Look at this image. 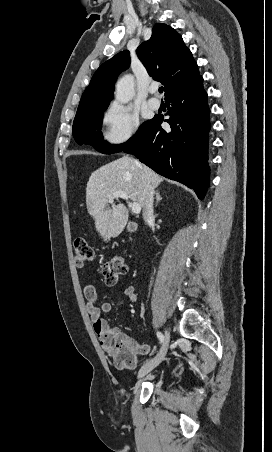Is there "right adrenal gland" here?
Returning a JSON list of instances; mask_svg holds the SVG:
<instances>
[{"mask_svg":"<svg viewBox=\"0 0 272 452\" xmlns=\"http://www.w3.org/2000/svg\"><path fill=\"white\" fill-rule=\"evenodd\" d=\"M156 203H155V207H157L158 203L160 200H162V197L160 196L159 190H156Z\"/></svg>","mask_w":272,"mask_h":452,"instance_id":"1","label":"right adrenal gland"}]
</instances>
